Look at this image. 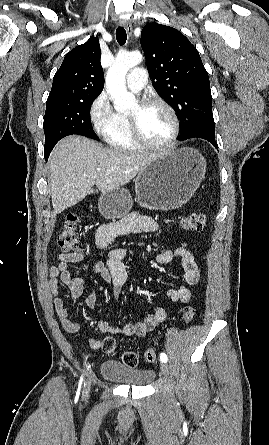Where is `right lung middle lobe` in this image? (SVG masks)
<instances>
[{"instance_id": "1", "label": "right lung middle lobe", "mask_w": 269, "mask_h": 445, "mask_svg": "<svg viewBox=\"0 0 269 445\" xmlns=\"http://www.w3.org/2000/svg\"><path fill=\"white\" fill-rule=\"evenodd\" d=\"M98 95L48 97L44 116L45 158L55 144L72 134L84 135L94 140L99 137L91 126L89 111Z\"/></svg>"}]
</instances>
